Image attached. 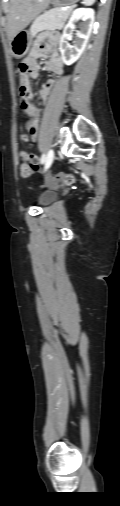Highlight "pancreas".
<instances>
[{
	"instance_id": "obj_1",
	"label": "pancreas",
	"mask_w": 120,
	"mask_h": 506,
	"mask_svg": "<svg viewBox=\"0 0 120 506\" xmlns=\"http://www.w3.org/2000/svg\"><path fill=\"white\" fill-rule=\"evenodd\" d=\"M70 13L71 9L62 10L60 8H54L45 12L42 19L32 25V35L35 36L38 32L43 30H61Z\"/></svg>"
}]
</instances>
